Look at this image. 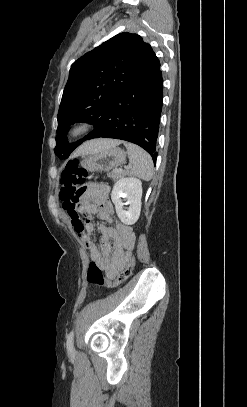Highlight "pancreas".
Returning a JSON list of instances; mask_svg holds the SVG:
<instances>
[{"instance_id": "obj_1", "label": "pancreas", "mask_w": 247, "mask_h": 407, "mask_svg": "<svg viewBox=\"0 0 247 407\" xmlns=\"http://www.w3.org/2000/svg\"><path fill=\"white\" fill-rule=\"evenodd\" d=\"M127 173L125 171H112L110 173H107V176L111 178L114 182L119 180L120 178L124 177Z\"/></svg>"}]
</instances>
